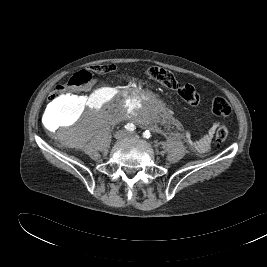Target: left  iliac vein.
<instances>
[{"label": "left iliac vein", "mask_w": 267, "mask_h": 267, "mask_svg": "<svg viewBox=\"0 0 267 267\" xmlns=\"http://www.w3.org/2000/svg\"><path fill=\"white\" fill-rule=\"evenodd\" d=\"M127 136H132V137H134V136H136L134 133H130V134H128Z\"/></svg>", "instance_id": "1"}]
</instances>
